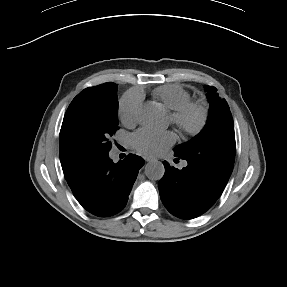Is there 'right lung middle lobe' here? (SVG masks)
Wrapping results in <instances>:
<instances>
[{
	"mask_svg": "<svg viewBox=\"0 0 287 287\" xmlns=\"http://www.w3.org/2000/svg\"><path fill=\"white\" fill-rule=\"evenodd\" d=\"M117 85L104 84L80 92L69 105L60 131V160L67 178L107 155L118 129Z\"/></svg>",
	"mask_w": 287,
	"mask_h": 287,
	"instance_id": "1",
	"label": "right lung middle lobe"
}]
</instances>
